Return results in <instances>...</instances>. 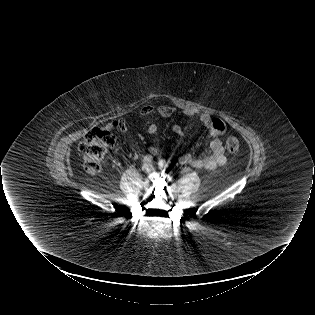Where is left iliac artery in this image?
<instances>
[{"mask_svg":"<svg viewBox=\"0 0 315 315\" xmlns=\"http://www.w3.org/2000/svg\"><path fill=\"white\" fill-rule=\"evenodd\" d=\"M158 165H159L160 168L167 167V164H166L165 160H160L158 162Z\"/></svg>","mask_w":315,"mask_h":315,"instance_id":"44dca946","label":"left iliac artery"}]
</instances>
